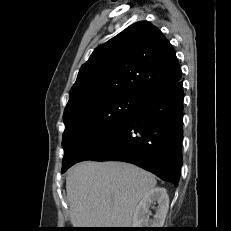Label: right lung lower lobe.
<instances>
[{
    "instance_id": "right-lung-lower-lobe-1",
    "label": "right lung lower lobe",
    "mask_w": 231,
    "mask_h": 231,
    "mask_svg": "<svg viewBox=\"0 0 231 231\" xmlns=\"http://www.w3.org/2000/svg\"><path fill=\"white\" fill-rule=\"evenodd\" d=\"M183 84L148 89L135 113L80 160L123 161L178 185L182 166Z\"/></svg>"
}]
</instances>
